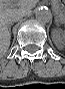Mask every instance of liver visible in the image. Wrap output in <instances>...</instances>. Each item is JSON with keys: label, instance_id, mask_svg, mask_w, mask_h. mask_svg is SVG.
Masks as SVG:
<instances>
[{"label": "liver", "instance_id": "obj_1", "mask_svg": "<svg viewBox=\"0 0 65 89\" xmlns=\"http://www.w3.org/2000/svg\"><path fill=\"white\" fill-rule=\"evenodd\" d=\"M36 0H1L0 2V54L4 55L9 46L11 32H9L10 21L14 16L30 12L36 5ZM17 6V8H14Z\"/></svg>", "mask_w": 65, "mask_h": 89}]
</instances>
